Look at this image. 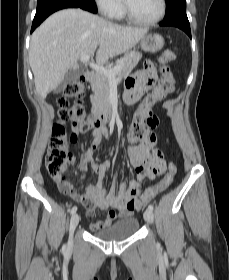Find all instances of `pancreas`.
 I'll use <instances>...</instances> for the list:
<instances>
[{
    "instance_id": "pancreas-1",
    "label": "pancreas",
    "mask_w": 229,
    "mask_h": 280,
    "mask_svg": "<svg viewBox=\"0 0 229 280\" xmlns=\"http://www.w3.org/2000/svg\"><path fill=\"white\" fill-rule=\"evenodd\" d=\"M142 58L138 51L127 52L123 58L118 59L115 65H109L107 68L112 69L118 64H122V69L116 74L117 79L128 75ZM94 94L91 96L93 107L98 113H109L111 105L109 102V79L104 74L98 72L94 81L91 83Z\"/></svg>"
}]
</instances>
